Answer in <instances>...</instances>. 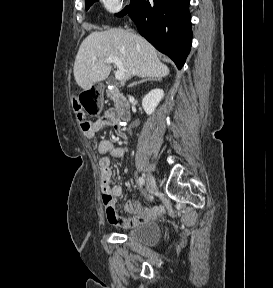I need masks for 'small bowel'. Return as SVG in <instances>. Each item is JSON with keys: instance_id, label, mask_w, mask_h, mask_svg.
Wrapping results in <instances>:
<instances>
[{"instance_id": "obj_1", "label": "small bowel", "mask_w": 273, "mask_h": 288, "mask_svg": "<svg viewBox=\"0 0 273 288\" xmlns=\"http://www.w3.org/2000/svg\"><path fill=\"white\" fill-rule=\"evenodd\" d=\"M112 127L115 133L124 138L121 129V121L113 109L107 110L97 120L90 123L88 129L84 130L85 135L93 139L95 134L103 127ZM98 152L102 155H110L113 158H122L125 151L121 147H116L109 140H102L98 144ZM101 175V192L105 214L108 222L118 227H134L143 222L154 220L163 213L162 206L144 207L138 201L132 200L124 205V209L131 213L130 217H123L115 209V201L122 195V188L112 178L110 159L103 156L99 160Z\"/></svg>"}]
</instances>
